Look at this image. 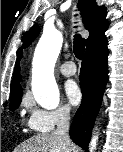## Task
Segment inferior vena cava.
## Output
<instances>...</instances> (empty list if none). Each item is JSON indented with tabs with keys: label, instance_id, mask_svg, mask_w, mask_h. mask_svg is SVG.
<instances>
[{
	"label": "inferior vena cava",
	"instance_id": "602c4592",
	"mask_svg": "<svg viewBox=\"0 0 123 152\" xmlns=\"http://www.w3.org/2000/svg\"><path fill=\"white\" fill-rule=\"evenodd\" d=\"M69 127H70L69 111L62 110L59 112L57 129L54 132V134L60 136L66 143H69L70 142Z\"/></svg>",
	"mask_w": 123,
	"mask_h": 152
}]
</instances>
